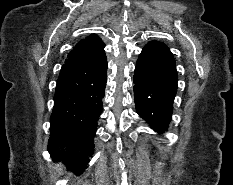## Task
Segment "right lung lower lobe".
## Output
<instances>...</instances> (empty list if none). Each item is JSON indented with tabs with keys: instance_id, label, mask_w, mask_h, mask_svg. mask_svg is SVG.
Masks as SVG:
<instances>
[{
	"instance_id": "right-lung-lower-lobe-1",
	"label": "right lung lower lobe",
	"mask_w": 233,
	"mask_h": 185,
	"mask_svg": "<svg viewBox=\"0 0 233 185\" xmlns=\"http://www.w3.org/2000/svg\"><path fill=\"white\" fill-rule=\"evenodd\" d=\"M106 80V58L97 63H65L59 74L48 149L76 174L84 171L94 151Z\"/></svg>"
}]
</instances>
